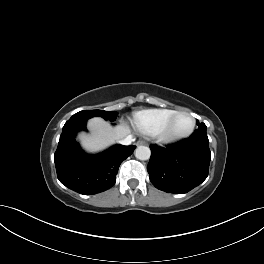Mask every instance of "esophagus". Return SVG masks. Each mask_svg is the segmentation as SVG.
<instances>
[{"label":"esophagus","mask_w":264,"mask_h":264,"mask_svg":"<svg viewBox=\"0 0 264 264\" xmlns=\"http://www.w3.org/2000/svg\"><path fill=\"white\" fill-rule=\"evenodd\" d=\"M143 144H145L144 141H138V142H137V145H143Z\"/></svg>","instance_id":"obj_1"}]
</instances>
